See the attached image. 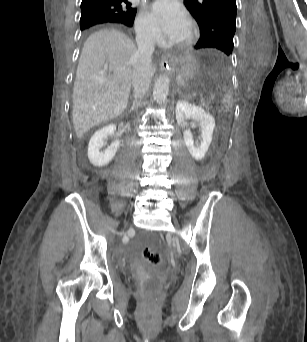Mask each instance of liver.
<instances>
[{
	"label": "liver",
	"mask_w": 307,
	"mask_h": 342,
	"mask_svg": "<svg viewBox=\"0 0 307 342\" xmlns=\"http://www.w3.org/2000/svg\"><path fill=\"white\" fill-rule=\"evenodd\" d=\"M136 52L132 40L118 30H99L87 38L73 88L72 116L78 140L127 108Z\"/></svg>",
	"instance_id": "obj_1"
}]
</instances>
